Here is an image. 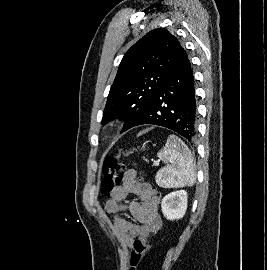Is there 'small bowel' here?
<instances>
[{"label":"small bowel","instance_id":"c3829d8e","mask_svg":"<svg viewBox=\"0 0 267 270\" xmlns=\"http://www.w3.org/2000/svg\"><path fill=\"white\" fill-rule=\"evenodd\" d=\"M136 172H126L123 182L111 194L105 203V210L115 214L112 220L113 231L119 242L132 249L138 238L147 239L161 227L159 215L160 199L156 191L148 183H140L135 179ZM129 196L137 199L128 201ZM129 211L138 223L124 218L121 213Z\"/></svg>","mask_w":267,"mask_h":270}]
</instances>
